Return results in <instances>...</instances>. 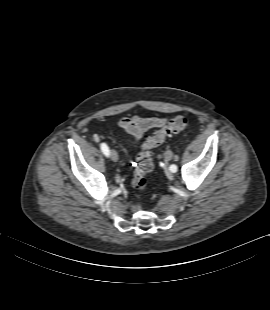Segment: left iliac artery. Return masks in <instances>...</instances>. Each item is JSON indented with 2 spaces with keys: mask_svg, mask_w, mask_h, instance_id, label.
Here are the masks:
<instances>
[{
  "mask_svg": "<svg viewBox=\"0 0 270 310\" xmlns=\"http://www.w3.org/2000/svg\"><path fill=\"white\" fill-rule=\"evenodd\" d=\"M170 170L172 171V172H176L177 171V166L176 165H171L170 166Z\"/></svg>",
  "mask_w": 270,
  "mask_h": 310,
  "instance_id": "obj_1",
  "label": "left iliac artery"
}]
</instances>
